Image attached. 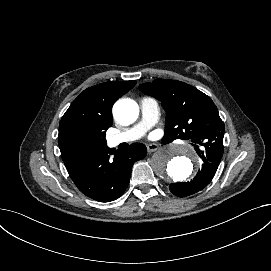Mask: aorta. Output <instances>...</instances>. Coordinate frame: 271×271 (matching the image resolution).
<instances>
[{
    "label": "aorta",
    "mask_w": 271,
    "mask_h": 271,
    "mask_svg": "<svg viewBox=\"0 0 271 271\" xmlns=\"http://www.w3.org/2000/svg\"><path fill=\"white\" fill-rule=\"evenodd\" d=\"M113 115L121 124H131L138 118L139 107L129 99L117 101L113 106ZM198 156L185 146H168L155 152L151 166L155 173L165 180L184 181L193 171Z\"/></svg>",
    "instance_id": "obj_1"
}]
</instances>
